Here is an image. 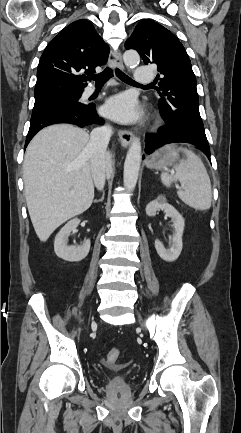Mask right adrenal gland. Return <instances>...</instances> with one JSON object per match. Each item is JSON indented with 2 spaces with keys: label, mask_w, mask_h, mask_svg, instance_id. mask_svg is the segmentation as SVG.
I'll list each match as a JSON object with an SVG mask.
<instances>
[{
  "label": "right adrenal gland",
  "mask_w": 241,
  "mask_h": 433,
  "mask_svg": "<svg viewBox=\"0 0 241 433\" xmlns=\"http://www.w3.org/2000/svg\"><path fill=\"white\" fill-rule=\"evenodd\" d=\"M103 199H104V192H103V194H102L101 199H99V200H94V202H101V201H103Z\"/></svg>",
  "instance_id": "obj_1"
}]
</instances>
